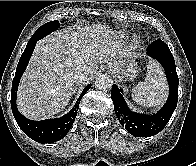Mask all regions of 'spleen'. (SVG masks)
Returning <instances> with one entry per match:
<instances>
[{"instance_id": "1", "label": "spleen", "mask_w": 196, "mask_h": 166, "mask_svg": "<svg viewBox=\"0 0 196 166\" xmlns=\"http://www.w3.org/2000/svg\"><path fill=\"white\" fill-rule=\"evenodd\" d=\"M147 76L132 92V99L139 105L154 107L161 105L167 97V84L158 63L150 61Z\"/></svg>"}]
</instances>
